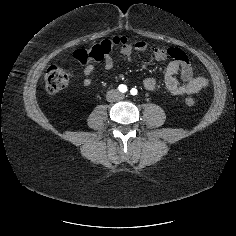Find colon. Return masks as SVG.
Segmentation results:
<instances>
[{
	"label": "colon",
	"mask_w": 236,
	"mask_h": 236,
	"mask_svg": "<svg viewBox=\"0 0 236 236\" xmlns=\"http://www.w3.org/2000/svg\"><path fill=\"white\" fill-rule=\"evenodd\" d=\"M126 43L124 37H114L106 39L88 49H77L74 51V58L82 65L88 64L90 61H103L113 49L123 46ZM45 88L49 93H57L63 90L69 81V74L57 64H51L44 77ZM186 104L192 106L194 99L186 98Z\"/></svg>",
	"instance_id": "1"
}]
</instances>
